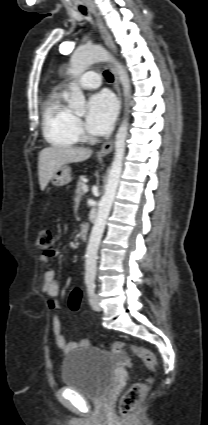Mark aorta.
Listing matches in <instances>:
<instances>
[{"mask_svg":"<svg viewBox=\"0 0 208 425\" xmlns=\"http://www.w3.org/2000/svg\"><path fill=\"white\" fill-rule=\"evenodd\" d=\"M111 60L110 54L100 46L92 47H80L75 50L71 59H70V68L68 73L73 77H79L88 66L95 62L100 61H109ZM119 80L123 87V94L125 97V102H127L131 95V86L128 73L125 67L117 62L113 61ZM70 98H69V107L77 112H83L85 106V96L78 86V84H73L70 86ZM126 111L128 112V105L126 104ZM128 113H126L120 127L115 136V154L114 159L109 170L108 180L105 186V193L102 197L97 217L94 223V226L91 231L89 242L86 249V263H85V279L94 280L96 276V266H97V254L101 238L105 229L107 218L112 208V204L115 199L117 188L120 181V176L122 173L123 158L125 154L126 138L128 134Z\"/></svg>","mask_w":208,"mask_h":425,"instance_id":"1","label":"aorta"}]
</instances>
